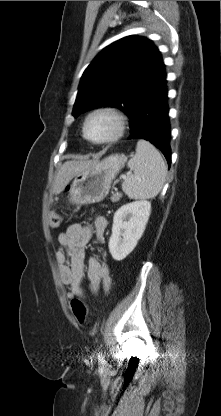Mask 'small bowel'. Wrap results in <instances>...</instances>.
Instances as JSON below:
<instances>
[{
  "instance_id": "small-bowel-1",
  "label": "small bowel",
  "mask_w": 221,
  "mask_h": 416,
  "mask_svg": "<svg viewBox=\"0 0 221 416\" xmlns=\"http://www.w3.org/2000/svg\"><path fill=\"white\" fill-rule=\"evenodd\" d=\"M107 224L104 216L97 215L89 224L73 223L58 234L59 247L55 251V258L61 280L68 289V298L83 296L82 281L85 272L93 293H97L101 287L105 291L109 290L111 274L106 258L91 256L86 260L90 240L95 237L102 242Z\"/></svg>"
}]
</instances>
